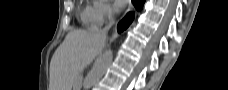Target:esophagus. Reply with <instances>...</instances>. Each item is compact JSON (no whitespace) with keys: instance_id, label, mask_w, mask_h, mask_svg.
<instances>
[{"instance_id":"esophagus-1","label":"esophagus","mask_w":228,"mask_h":90,"mask_svg":"<svg viewBox=\"0 0 228 90\" xmlns=\"http://www.w3.org/2000/svg\"><path fill=\"white\" fill-rule=\"evenodd\" d=\"M132 9V5L130 4L129 5V8H128V11H130Z\"/></svg>"}]
</instances>
